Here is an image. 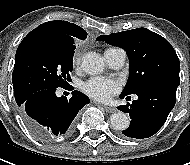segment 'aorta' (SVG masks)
Returning <instances> with one entry per match:
<instances>
[{"label":"aorta","instance_id":"obj_1","mask_svg":"<svg viewBox=\"0 0 190 165\" xmlns=\"http://www.w3.org/2000/svg\"><path fill=\"white\" fill-rule=\"evenodd\" d=\"M82 68L83 70L91 75L100 74L105 67L104 61L100 54L96 52H88L82 57ZM110 123L113 129L122 131L129 127V117L121 112H115L110 117Z\"/></svg>","mask_w":190,"mask_h":165}]
</instances>
